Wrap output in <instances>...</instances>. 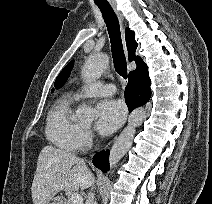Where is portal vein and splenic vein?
Instances as JSON below:
<instances>
[{
  "label": "portal vein and splenic vein",
  "instance_id": "portal-vein-and-splenic-vein-1",
  "mask_svg": "<svg viewBox=\"0 0 212 204\" xmlns=\"http://www.w3.org/2000/svg\"><path fill=\"white\" fill-rule=\"evenodd\" d=\"M71 204H82L83 203V198L80 194L74 193L71 195L69 198Z\"/></svg>",
  "mask_w": 212,
  "mask_h": 204
}]
</instances>
